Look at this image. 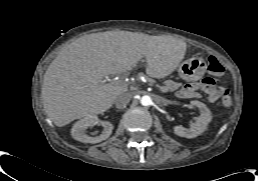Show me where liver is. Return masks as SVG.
<instances>
[{
	"instance_id": "1",
	"label": "liver",
	"mask_w": 258,
	"mask_h": 181,
	"mask_svg": "<svg viewBox=\"0 0 258 181\" xmlns=\"http://www.w3.org/2000/svg\"><path fill=\"white\" fill-rule=\"evenodd\" d=\"M186 43L170 36L106 31L83 36L51 62L41 90L47 116L58 127L105 112L128 90L104 78L130 71L143 59L146 74L165 78L183 60Z\"/></svg>"
}]
</instances>
